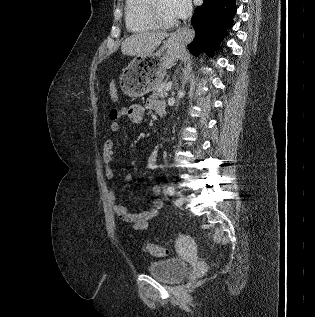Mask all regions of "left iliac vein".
Returning <instances> with one entry per match:
<instances>
[{
	"label": "left iliac vein",
	"instance_id": "4c4485c4",
	"mask_svg": "<svg viewBox=\"0 0 315 317\" xmlns=\"http://www.w3.org/2000/svg\"><path fill=\"white\" fill-rule=\"evenodd\" d=\"M183 203H184L183 195L180 192H177L176 199H175V205L180 207V206H182Z\"/></svg>",
	"mask_w": 315,
	"mask_h": 317
}]
</instances>
